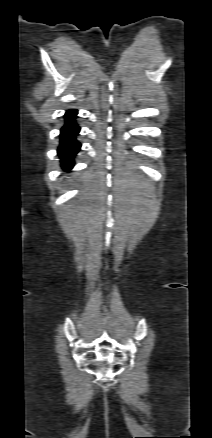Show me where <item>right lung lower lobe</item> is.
<instances>
[{
	"label": "right lung lower lobe",
	"instance_id": "right-lung-lower-lobe-1",
	"mask_svg": "<svg viewBox=\"0 0 212 438\" xmlns=\"http://www.w3.org/2000/svg\"><path fill=\"white\" fill-rule=\"evenodd\" d=\"M76 114V110L67 111L65 115L66 124L61 130V142L58 149V155L61 158L64 170H69L73 167V157L81 147V144L75 139V136L80 130L74 121Z\"/></svg>",
	"mask_w": 212,
	"mask_h": 438
}]
</instances>
